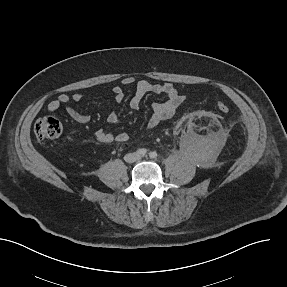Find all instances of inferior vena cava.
Instances as JSON below:
<instances>
[{
  "label": "inferior vena cava",
  "mask_w": 287,
  "mask_h": 287,
  "mask_svg": "<svg viewBox=\"0 0 287 287\" xmlns=\"http://www.w3.org/2000/svg\"><path fill=\"white\" fill-rule=\"evenodd\" d=\"M139 158H140V156H139L138 154H135V153L127 154V155H125V157H124L125 161H126V162H129V163L135 162V161H137Z\"/></svg>",
  "instance_id": "602c4592"
}]
</instances>
